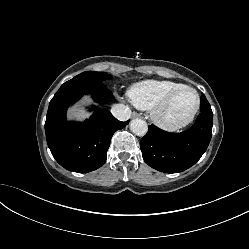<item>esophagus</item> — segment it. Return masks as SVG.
Listing matches in <instances>:
<instances>
[{"mask_svg": "<svg viewBox=\"0 0 249 249\" xmlns=\"http://www.w3.org/2000/svg\"><path fill=\"white\" fill-rule=\"evenodd\" d=\"M132 116H133V117H139L140 115H139L138 113L134 112V113L132 114Z\"/></svg>", "mask_w": 249, "mask_h": 249, "instance_id": "34e87169", "label": "esophagus"}]
</instances>
